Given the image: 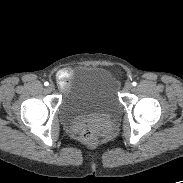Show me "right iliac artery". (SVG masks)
Returning a JSON list of instances; mask_svg holds the SVG:
<instances>
[{
	"label": "right iliac artery",
	"mask_w": 183,
	"mask_h": 183,
	"mask_svg": "<svg viewBox=\"0 0 183 183\" xmlns=\"http://www.w3.org/2000/svg\"><path fill=\"white\" fill-rule=\"evenodd\" d=\"M44 85H45V86H48V85H49V83H48V82H44Z\"/></svg>",
	"instance_id": "82829eb1"
}]
</instances>
